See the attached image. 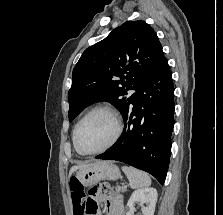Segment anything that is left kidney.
I'll return each instance as SVG.
<instances>
[{
  "mask_svg": "<svg viewBox=\"0 0 223 215\" xmlns=\"http://www.w3.org/2000/svg\"><path fill=\"white\" fill-rule=\"evenodd\" d=\"M135 201L146 203V207L145 205H141V209L144 215H153L157 201V189H155V187H143V189H135L127 203L129 209L126 215H134Z\"/></svg>",
  "mask_w": 223,
  "mask_h": 215,
  "instance_id": "1",
  "label": "left kidney"
}]
</instances>
